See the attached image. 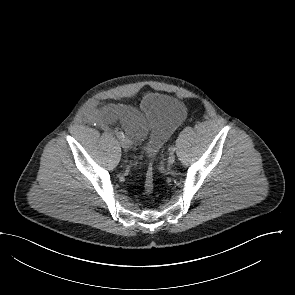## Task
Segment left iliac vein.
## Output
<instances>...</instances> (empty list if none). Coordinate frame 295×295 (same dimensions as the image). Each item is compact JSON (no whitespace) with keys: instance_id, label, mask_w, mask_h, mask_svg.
Instances as JSON below:
<instances>
[{"instance_id":"1","label":"left iliac vein","mask_w":295,"mask_h":295,"mask_svg":"<svg viewBox=\"0 0 295 295\" xmlns=\"http://www.w3.org/2000/svg\"><path fill=\"white\" fill-rule=\"evenodd\" d=\"M175 162V155L174 153H170L169 157H168V164L172 165Z\"/></svg>"}]
</instances>
